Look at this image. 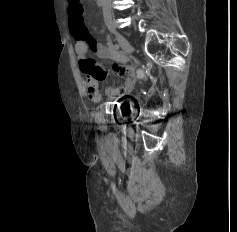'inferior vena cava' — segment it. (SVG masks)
<instances>
[{
	"mask_svg": "<svg viewBox=\"0 0 237 232\" xmlns=\"http://www.w3.org/2000/svg\"><path fill=\"white\" fill-rule=\"evenodd\" d=\"M102 6L104 21H111V0H98Z\"/></svg>",
	"mask_w": 237,
	"mask_h": 232,
	"instance_id": "1",
	"label": "inferior vena cava"
}]
</instances>
